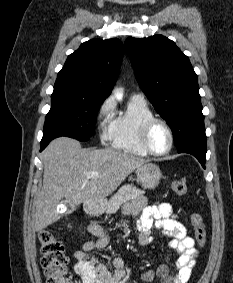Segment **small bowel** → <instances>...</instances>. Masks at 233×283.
Segmentation results:
<instances>
[{"mask_svg": "<svg viewBox=\"0 0 233 283\" xmlns=\"http://www.w3.org/2000/svg\"><path fill=\"white\" fill-rule=\"evenodd\" d=\"M126 214L138 216L137 230L138 243L148 246L154 241L151 230H159V235L167 240L169 248L173 249L178 258L175 261V273H171L168 266L160 265L156 270H149L141 275L144 282L151 281L155 276L160 283H187L196 263L198 252L195 241L187 236L186 228L178 220L169 203L148 205L144 197H139L128 204L124 210ZM89 233L96 237L83 244L82 248L73 254L74 270L82 283H128L129 274L121 258L113 260L114 272L111 273L106 266L91 255L94 249H104L110 241L109 234L101 226L92 224Z\"/></svg>", "mask_w": 233, "mask_h": 283, "instance_id": "c3829d8e", "label": "small bowel"}]
</instances>
